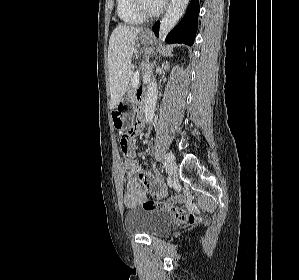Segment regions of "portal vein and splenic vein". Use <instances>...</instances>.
<instances>
[{
  "label": "portal vein and splenic vein",
  "mask_w": 299,
  "mask_h": 280,
  "mask_svg": "<svg viewBox=\"0 0 299 280\" xmlns=\"http://www.w3.org/2000/svg\"><path fill=\"white\" fill-rule=\"evenodd\" d=\"M139 84V71H136L133 77V87H137Z\"/></svg>",
  "instance_id": "obj_1"
}]
</instances>
